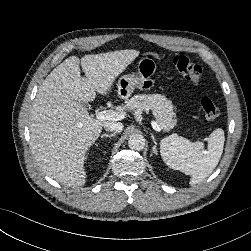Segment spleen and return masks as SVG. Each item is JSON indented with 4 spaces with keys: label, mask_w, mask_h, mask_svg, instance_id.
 I'll return each instance as SVG.
<instances>
[{
    "label": "spleen",
    "mask_w": 251,
    "mask_h": 251,
    "mask_svg": "<svg viewBox=\"0 0 251 251\" xmlns=\"http://www.w3.org/2000/svg\"><path fill=\"white\" fill-rule=\"evenodd\" d=\"M224 141V131L220 128L210 134L206 151H202V142L192 143L184 137L168 136L160 142V154L167 166L190 175V184L195 185L217 166Z\"/></svg>",
    "instance_id": "obj_1"
}]
</instances>
